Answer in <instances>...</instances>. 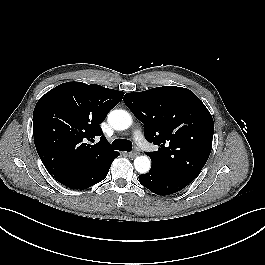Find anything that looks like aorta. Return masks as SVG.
Wrapping results in <instances>:
<instances>
[{
  "label": "aorta",
  "mask_w": 265,
  "mask_h": 265,
  "mask_svg": "<svg viewBox=\"0 0 265 265\" xmlns=\"http://www.w3.org/2000/svg\"><path fill=\"white\" fill-rule=\"evenodd\" d=\"M108 123L115 130H126L132 125V117L125 110H113L108 114ZM134 167L141 174L147 173L151 161L147 156H138L134 159Z\"/></svg>",
  "instance_id": "1"
}]
</instances>
